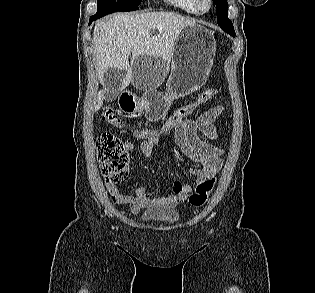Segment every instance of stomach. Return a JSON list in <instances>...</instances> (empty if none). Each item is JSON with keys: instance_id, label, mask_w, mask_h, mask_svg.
<instances>
[{"instance_id": "obj_1", "label": "stomach", "mask_w": 315, "mask_h": 293, "mask_svg": "<svg viewBox=\"0 0 315 293\" xmlns=\"http://www.w3.org/2000/svg\"><path fill=\"white\" fill-rule=\"evenodd\" d=\"M215 51L216 41L210 30L199 24L185 27L174 45L166 94L155 92L137 96V92H120V110L127 113L141 110L148 120H159L174 99L204 85L213 65Z\"/></svg>"}]
</instances>
